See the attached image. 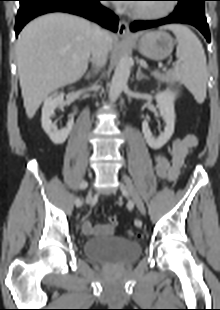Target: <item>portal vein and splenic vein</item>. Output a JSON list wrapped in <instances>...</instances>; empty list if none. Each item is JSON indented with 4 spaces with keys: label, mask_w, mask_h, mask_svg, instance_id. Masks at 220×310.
Returning a JSON list of instances; mask_svg holds the SVG:
<instances>
[{
    "label": "portal vein and splenic vein",
    "mask_w": 220,
    "mask_h": 310,
    "mask_svg": "<svg viewBox=\"0 0 220 310\" xmlns=\"http://www.w3.org/2000/svg\"><path fill=\"white\" fill-rule=\"evenodd\" d=\"M154 75H159L158 71L153 72Z\"/></svg>",
    "instance_id": "18ae733b"
}]
</instances>
